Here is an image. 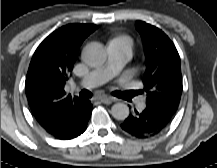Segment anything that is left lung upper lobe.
Segmentation results:
<instances>
[{
  "instance_id": "obj_1",
  "label": "left lung upper lobe",
  "mask_w": 217,
  "mask_h": 168,
  "mask_svg": "<svg viewBox=\"0 0 217 168\" xmlns=\"http://www.w3.org/2000/svg\"><path fill=\"white\" fill-rule=\"evenodd\" d=\"M136 28L142 37L146 57V70L142 78L147 94L146 104L174 115L183 88L178 51L159 28L143 21H137Z\"/></svg>"
}]
</instances>
